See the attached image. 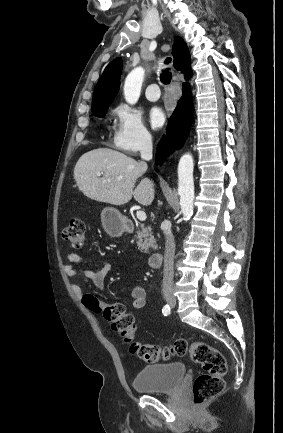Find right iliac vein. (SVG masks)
Returning <instances> with one entry per match:
<instances>
[{"label": "right iliac vein", "instance_id": "63e3f726", "mask_svg": "<svg viewBox=\"0 0 283 433\" xmlns=\"http://www.w3.org/2000/svg\"><path fill=\"white\" fill-rule=\"evenodd\" d=\"M166 302L171 307H175L176 306V300L172 296H167L166 297Z\"/></svg>", "mask_w": 283, "mask_h": 433}]
</instances>
